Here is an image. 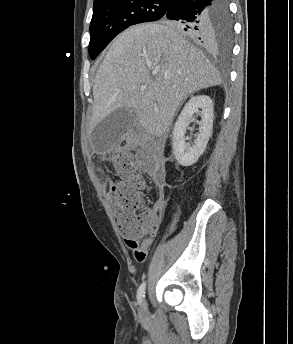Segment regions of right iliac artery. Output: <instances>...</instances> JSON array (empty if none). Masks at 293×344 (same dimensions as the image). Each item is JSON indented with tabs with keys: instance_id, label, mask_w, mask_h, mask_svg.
<instances>
[{
	"instance_id": "1",
	"label": "right iliac artery",
	"mask_w": 293,
	"mask_h": 344,
	"mask_svg": "<svg viewBox=\"0 0 293 344\" xmlns=\"http://www.w3.org/2000/svg\"><path fill=\"white\" fill-rule=\"evenodd\" d=\"M145 287H146V283L143 282V283L140 285V287H139V289H138V291H137V300H138L139 303H141L142 300H143V298H144Z\"/></svg>"
}]
</instances>
